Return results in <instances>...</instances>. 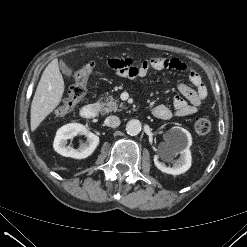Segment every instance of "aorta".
<instances>
[{"mask_svg":"<svg viewBox=\"0 0 247 247\" xmlns=\"http://www.w3.org/2000/svg\"><path fill=\"white\" fill-rule=\"evenodd\" d=\"M142 124L137 119H132L126 124V131L131 136H136L141 132Z\"/></svg>","mask_w":247,"mask_h":247,"instance_id":"obj_1","label":"aorta"}]
</instances>
